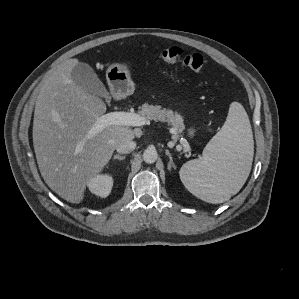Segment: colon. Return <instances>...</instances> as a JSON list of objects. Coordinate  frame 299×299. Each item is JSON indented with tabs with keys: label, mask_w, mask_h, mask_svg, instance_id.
<instances>
[{
	"label": "colon",
	"mask_w": 299,
	"mask_h": 299,
	"mask_svg": "<svg viewBox=\"0 0 299 299\" xmlns=\"http://www.w3.org/2000/svg\"><path fill=\"white\" fill-rule=\"evenodd\" d=\"M160 56L166 63H182L195 72H200L204 68V58L200 54H185L184 51L177 46L163 49Z\"/></svg>",
	"instance_id": "colon-1"
}]
</instances>
